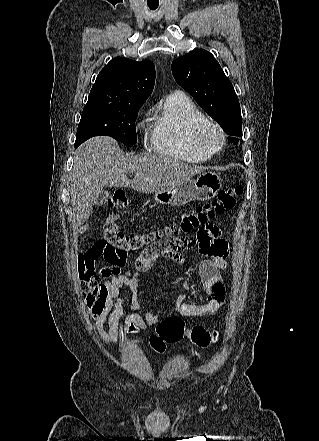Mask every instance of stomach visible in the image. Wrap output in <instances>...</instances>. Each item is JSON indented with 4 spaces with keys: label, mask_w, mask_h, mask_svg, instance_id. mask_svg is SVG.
Returning a JSON list of instances; mask_svg holds the SVG:
<instances>
[{
    "label": "stomach",
    "mask_w": 319,
    "mask_h": 441,
    "mask_svg": "<svg viewBox=\"0 0 319 441\" xmlns=\"http://www.w3.org/2000/svg\"><path fill=\"white\" fill-rule=\"evenodd\" d=\"M222 188V178L218 173L207 171L196 179H186L179 184L154 195L155 202L164 205H185L194 200H209Z\"/></svg>",
    "instance_id": "0dacf381"
}]
</instances>
